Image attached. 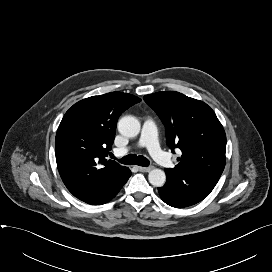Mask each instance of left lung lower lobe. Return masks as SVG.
<instances>
[{
	"label": "left lung lower lobe",
	"instance_id": "1",
	"mask_svg": "<svg viewBox=\"0 0 272 272\" xmlns=\"http://www.w3.org/2000/svg\"><path fill=\"white\" fill-rule=\"evenodd\" d=\"M165 172L167 181L158 191L166 204L176 208H184L202 201L219 180L189 171L173 173L165 169Z\"/></svg>",
	"mask_w": 272,
	"mask_h": 272
}]
</instances>
